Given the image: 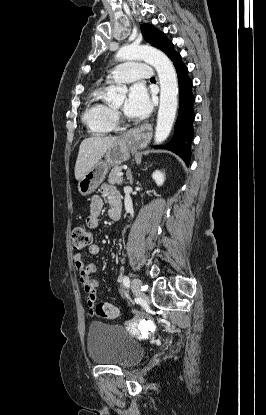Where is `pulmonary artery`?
I'll use <instances>...</instances> for the list:
<instances>
[{
  "label": "pulmonary artery",
  "instance_id": "obj_1",
  "mask_svg": "<svg viewBox=\"0 0 266 415\" xmlns=\"http://www.w3.org/2000/svg\"><path fill=\"white\" fill-rule=\"evenodd\" d=\"M152 69L140 62H126L115 68L110 74V82L127 83L137 79H151Z\"/></svg>",
  "mask_w": 266,
  "mask_h": 415
}]
</instances>
